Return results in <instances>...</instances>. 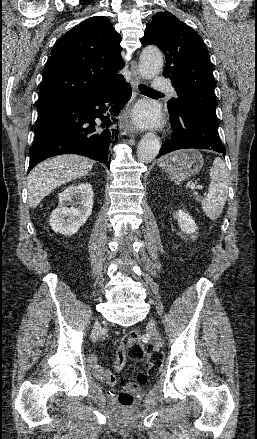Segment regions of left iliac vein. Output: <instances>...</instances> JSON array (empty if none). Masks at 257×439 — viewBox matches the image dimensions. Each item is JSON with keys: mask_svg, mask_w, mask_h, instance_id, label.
<instances>
[{"mask_svg": "<svg viewBox=\"0 0 257 439\" xmlns=\"http://www.w3.org/2000/svg\"><path fill=\"white\" fill-rule=\"evenodd\" d=\"M149 332L152 335L153 339L156 341V344L158 346H162L161 335L154 320L150 321Z\"/></svg>", "mask_w": 257, "mask_h": 439, "instance_id": "1", "label": "left iliac vein"}]
</instances>
